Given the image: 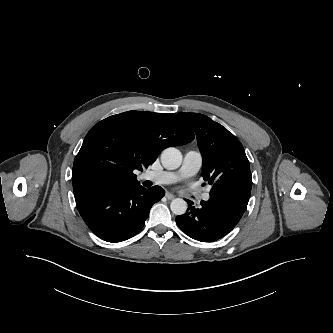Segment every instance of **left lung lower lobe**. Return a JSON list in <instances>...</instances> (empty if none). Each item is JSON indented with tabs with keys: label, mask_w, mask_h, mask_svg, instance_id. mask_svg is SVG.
<instances>
[{
	"label": "left lung lower lobe",
	"mask_w": 333,
	"mask_h": 333,
	"mask_svg": "<svg viewBox=\"0 0 333 333\" xmlns=\"http://www.w3.org/2000/svg\"><path fill=\"white\" fill-rule=\"evenodd\" d=\"M252 186L250 170L231 174L221 179L210 199L201 208L188 202V212L176 217L180 229L193 239L214 242L228 234L246 210Z\"/></svg>",
	"instance_id": "left-lung-lower-lobe-1"
}]
</instances>
